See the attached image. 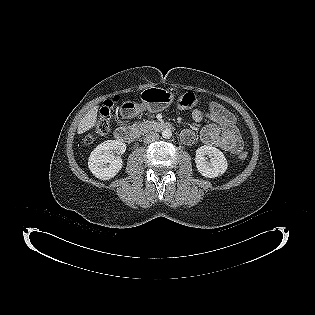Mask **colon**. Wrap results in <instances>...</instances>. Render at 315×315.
<instances>
[{
    "label": "colon",
    "mask_w": 315,
    "mask_h": 315,
    "mask_svg": "<svg viewBox=\"0 0 315 315\" xmlns=\"http://www.w3.org/2000/svg\"><path fill=\"white\" fill-rule=\"evenodd\" d=\"M117 99L113 98L106 100L100 110L99 118L92 133H90L86 141L88 143L93 142L97 137L107 134L110 130L111 120L113 115L114 105ZM198 103V97L191 92L185 93L177 100V106L181 109L191 108ZM238 156L241 160L246 161L249 159L250 154L246 150H240Z\"/></svg>",
    "instance_id": "5ec220e1"
}]
</instances>
